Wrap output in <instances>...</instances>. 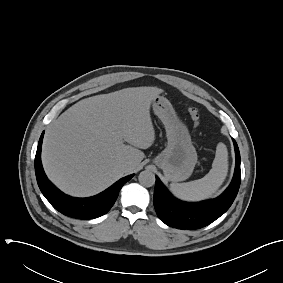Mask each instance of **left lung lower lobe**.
I'll return each instance as SVG.
<instances>
[{
  "label": "left lung lower lobe",
  "instance_id": "left-lung-lower-lobe-1",
  "mask_svg": "<svg viewBox=\"0 0 283 283\" xmlns=\"http://www.w3.org/2000/svg\"><path fill=\"white\" fill-rule=\"evenodd\" d=\"M233 143L236 155L234 176L229 187L216 199L199 203L182 202L174 198L156 176L154 207L161 221L178 229H199L209 225L229 209L241 181L240 153L234 139Z\"/></svg>",
  "mask_w": 283,
  "mask_h": 283
}]
</instances>
